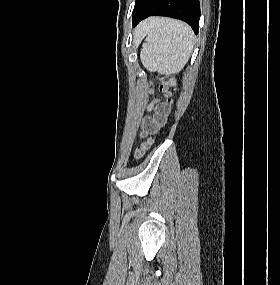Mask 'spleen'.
Instances as JSON below:
<instances>
[{"label":"spleen","mask_w":280,"mask_h":285,"mask_svg":"<svg viewBox=\"0 0 280 285\" xmlns=\"http://www.w3.org/2000/svg\"><path fill=\"white\" fill-rule=\"evenodd\" d=\"M141 30L147 35L140 52L141 62L146 69L170 74L184 67L195 39L186 23L168 18H151Z\"/></svg>","instance_id":"spleen-1"}]
</instances>
